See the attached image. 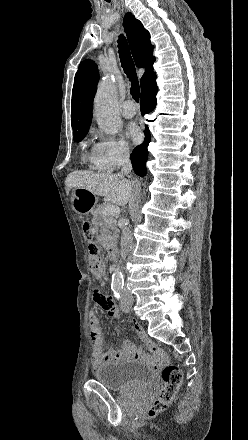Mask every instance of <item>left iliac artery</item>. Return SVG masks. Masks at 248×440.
<instances>
[{
    "instance_id": "left-iliac-artery-1",
    "label": "left iliac artery",
    "mask_w": 248,
    "mask_h": 440,
    "mask_svg": "<svg viewBox=\"0 0 248 440\" xmlns=\"http://www.w3.org/2000/svg\"><path fill=\"white\" fill-rule=\"evenodd\" d=\"M114 291V295L116 298H120V291L119 290H113Z\"/></svg>"
}]
</instances>
